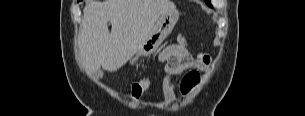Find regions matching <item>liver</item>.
<instances>
[{"instance_id": "liver-1", "label": "liver", "mask_w": 305, "mask_h": 116, "mask_svg": "<svg viewBox=\"0 0 305 116\" xmlns=\"http://www.w3.org/2000/svg\"><path fill=\"white\" fill-rule=\"evenodd\" d=\"M175 9L171 0H89L78 39L81 67L91 75L101 67L117 71L137 53L161 15Z\"/></svg>"}]
</instances>
